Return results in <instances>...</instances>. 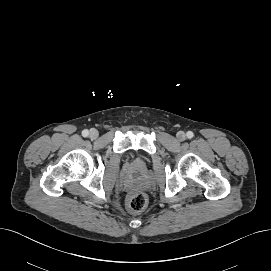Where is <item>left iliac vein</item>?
<instances>
[{
    "label": "left iliac vein",
    "instance_id": "1",
    "mask_svg": "<svg viewBox=\"0 0 271 271\" xmlns=\"http://www.w3.org/2000/svg\"><path fill=\"white\" fill-rule=\"evenodd\" d=\"M176 137L179 141H183L186 139V134L183 132V131H179L177 134H176Z\"/></svg>",
    "mask_w": 271,
    "mask_h": 271
}]
</instances>
